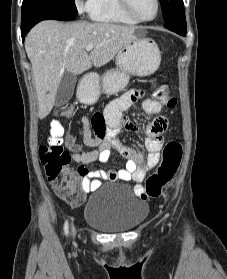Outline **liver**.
Here are the masks:
<instances>
[{
    "instance_id": "1",
    "label": "liver",
    "mask_w": 227,
    "mask_h": 279,
    "mask_svg": "<svg viewBox=\"0 0 227 279\" xmlns=\"http://www.w3.org/2000/svg\"><path fill=\"white\" fill-rule=\"evenodd\" d=\"M136 26L86 21L61 23L46 20L38 23L25 40L27 56L38 100V116L51 112L63 74H82L92 65L109 63L118 51L135 38ZM94 48L90 54L86 46Z\"/></svg>"
}]
</instances>
